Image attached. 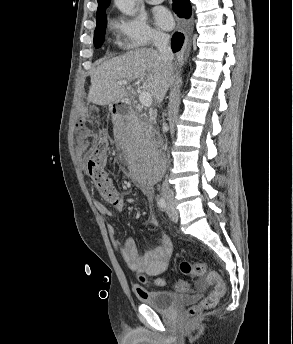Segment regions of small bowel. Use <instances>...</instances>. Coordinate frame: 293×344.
<instances>
[{
	"label": "small bowel",
	"mask_w": 293,
	"mask_h": 344,
	"mask_svg": "<svg viewBox=\"0 0 293 344\" xmlns=\"http://www.w3.org/2000/svg\"><path fill=\"white\" fill-rule=\"evenodd\" d=\"M90 141V136L79 135L78 147L81 150H85ZM125 206L124 199L120 197L119 202L116 204L117 210H123ZM98 211L105 215L110 216L111 211L103 203L98 202L96 204ZM149 223L156 226L158 221L155 217L150 218ZM108 233L113 240L114 246L121 256V258L127 263V265L138 272L146 273L149 276H158L162 274L171 259L173 253V245L169 237L162 234L160 237V243L153 249L149 250L144 255H139L138 246L134 239L129 238L123 245L117 241V229L114 225L110 224L107 227ZM178 289L183 292H187L189 287L186 283H182V287L178 286ZM145 289L142 287L135 288V294L142 298L145 295Z\"/></svg>",
	"instance_id": "obj_1"
}]
</instances>
